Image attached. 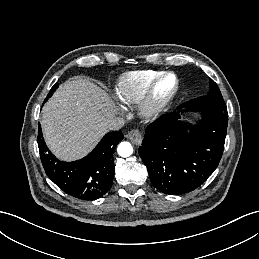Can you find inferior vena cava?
I'll use <instances>...</instances> for the list:
<instances>
[{"instance_id":"inferior-vena-cava-1","label":"inferior vena cava","mask_w":259,"mask_h":259,"mask_svg":"<svg viewBox=\"0 0 259 259\" xmlns=\"http://www.w3.org/2000/svg\"><path fill=\"white\" fill-rule=\"evenodd\" d=\"M125 124V120L121 117L114 116L108 124V129L119 130Z\"/></svg>"}]
</instances>
